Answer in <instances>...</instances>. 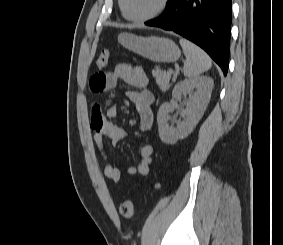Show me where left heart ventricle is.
<instances>
[{
    "mask_svg": "<svg viewBox=\"0 0 283 245\" xmlns=\"http://www.w3.org/2000/svg\"><path fill=\"white\" fill-rule=\"evenodd\" d=\"M161 0H125V9L131 17H142L152 13Z\"/></svg>",
    "mask_w": 283,
    "mask_h": 245,
    "instance_id": "obj_1",
    "label": "left heart ventricle"
}]
</instances>
